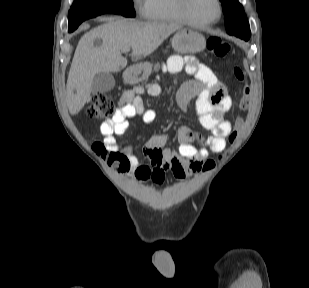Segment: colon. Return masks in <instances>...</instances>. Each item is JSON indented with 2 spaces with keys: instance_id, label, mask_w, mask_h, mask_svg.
<instances>
[{
  "instance_id": "5ec220e1",
  "label": "colon",
  "mask_w": 309,
  "mask_h": 288,
  "mask_svg": "<svg viewBox=\"0 0 309 288\" xmlns=\"http://www.w3.org/2000/svg\"><path fill=\"white\" fill-rule=\"evenodd\" d=\"M208 48L219 57L226 56L230 50V45L219 38H210L208 40ZM233 74L235 78L244 83L242 96L239 100L238 107L240 110L244 111L249 107L250 100H251V89L249 84L247 83V79L245 76L244 71L241 67L235 66L233 68ZM117 110L115 103L113 102L112 98L106 93H96L93 96L91 106L88 110V116L93 119H103L107 118L115 113ZM243 124V119L241 117L236 118L235 126L233 130L229 134V142L232 144L236 141L238 132L241 129ZM94 149L98 153L102 154L103 157L108 161L109 165L120 169V165L126 162L124 155L118 152H110L107 150L106 146L102 142H95ZM215 166L214 160H207L202 169L204 171H209L213 169Z\"/></svg>"
}]
</instances>
